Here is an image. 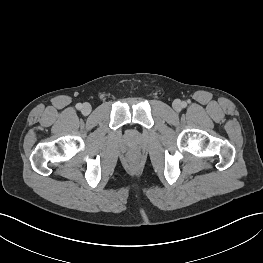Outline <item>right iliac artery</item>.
<instances>
[{
	"label": "right iliac artery",
	"mask_w": 263,
	"mask_h": 263,
	"mask_svg": "<svg viewBox=\"0 0 263 263\" xmlns=\"http://www.w3.org/2000/svg\"><path fill=\"white\" fill-rule=\"evenodd\" d=\"M76 108H77L78 110H81L82 104H81V103H78V104L76 105Z\"/></svg>",
	"instance_id": "82829eb1"
}]
</instances>
